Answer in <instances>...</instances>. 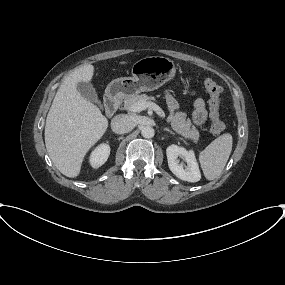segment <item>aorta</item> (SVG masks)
Listing matches in <instances>:
<instances>
[{
  "mask_svg": "<svg viewBox=\"0 0 285 285\" xmlns=\"http://www.w3.org/2000/svg\"><path fill=\"white\" fill-rule=\"evenodd\" d=\"M154 129L150 126H145L141 130V134L144 138H152L154 136Z\"/></svg>",
  "mask_w": 285,
  "mask_h": 285,
  "instance_id": "1",
  "label": "aorta"
}]
</instances>
